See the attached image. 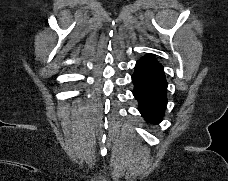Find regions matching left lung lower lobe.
Returning <instances> with one entry per match:
<instances>
[{
	"mask_svg": "<svg viewBox=\"0 0 228 181\" xmlns=\"http://www.w3.org/2000/svg\"><path fill=\"white\" fill-rule=\"evenodd\" d=\"M132 80L141 115L148 123H160L167 105V81L162 65L151 55L144 56L138 60Z\"/></svg>",
	"mask_w": 228,
	"mask_h": 181,
	"instance_id": "left-lung-lower-lobe-1",
	"label": "left lung lower lobe"
}]
</instances>
